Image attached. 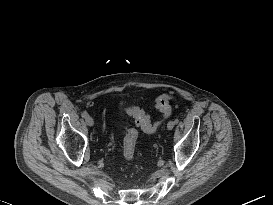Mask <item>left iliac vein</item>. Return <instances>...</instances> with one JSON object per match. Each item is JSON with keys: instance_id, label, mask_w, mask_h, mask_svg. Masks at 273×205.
<instances>
[{"instance_id": "4c4485c4", "label": "left iliac vein", "mask_w": 273, "mask_h": 205, "mask_svg": "<svg viewBox=\"0 0 273 205\" xmlns=\"http://www.w3.org/2000/svg\"><path fill=\"white\" fill-rule=\"evenodd\" d=\"M174 126H175V122L172 121V120L169 121L168 124H167V128H168L169 130H172Z\"/></svg>"}]
</instances>
